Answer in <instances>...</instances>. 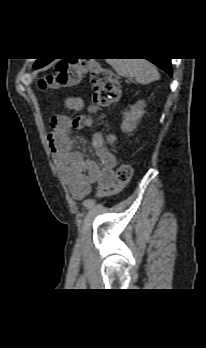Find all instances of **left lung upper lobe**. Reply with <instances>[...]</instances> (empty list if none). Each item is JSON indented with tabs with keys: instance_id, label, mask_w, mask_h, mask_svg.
Listing matches in <instances>:
<instances>
[{
	"instance_id": "left-lung-upper-lobe-1",
	"label": "left lung upper lobe",
	"mask_w": 206,
	"mask_h": 348,
	"mask_svg": "<svg viewBox=\"0 0 206 348\" xmlns=\"http://www.w3.org/2000/svg\"><path fill=\"white\" fill-rule=\"evenodd\" d=\"M48 63H49V61H47V60L38 59V60L34 63V68L37 69V68L43 67V66H45V65L48 64Z\"/></svg>"
}]
</instances>
